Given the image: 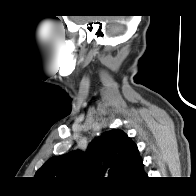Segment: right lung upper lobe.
I'll return each mask as SVG.
<instances>
[{"instance_id": "right-lung-upper-lobe-1", "label": "right lung upper lobe", "mask_w": 196, "mask_h": 196, "mask_svg": "<svg viewBox=\"0 0 196 196\" xmlns=\"http://www.w3.org/2000/svg\"><path fill=\"white\" fill-rule=\"evenodd\" d=\"M88 178L134 183L145 176L135 143L122 130L95 138L85 153L80 150L49 159L35 174L48 185H65Z\"/></svg>"}]
</instances>
